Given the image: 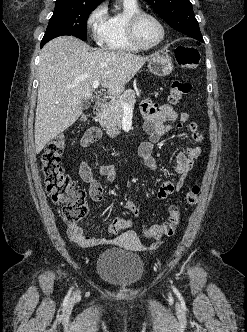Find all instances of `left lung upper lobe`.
<instances>
[{
	"label": "left lung upper lobe",
	"mask_w": 247,
	"mask_h": 332,
	"mask_svg": "<svg viewBox=\"0 0 247 332\" xmlns=\"http://www.w3.org/2000/svg\"><path fill=\"white\" fill-rule=\"evenodd\" d=\"M175 30L200 42L203 38L189 0H145Z\"/></svg>",
	"instance_id": "1"
}]
</instances>
